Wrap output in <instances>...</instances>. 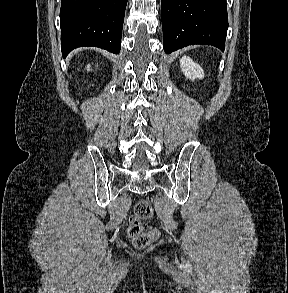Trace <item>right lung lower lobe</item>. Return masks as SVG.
I'll return each mask as SVG.
<instances>
[{
	"mask_svg": "<svg viewBox=\"0 0 288 293\" xmlns=\"http://www.w3.org/2000/svg\"><path fill=\"white\" fill-rule=\"evenodd\" d=\"M127 0H62L60 9L63 56L83 46L120 52Z\"/></svg>",
	"mask_w": 288,
	"mask_h": 293,
	"instance_id": "obj_1",
	"label": "right lung lower lobe"
}]
</instances>
